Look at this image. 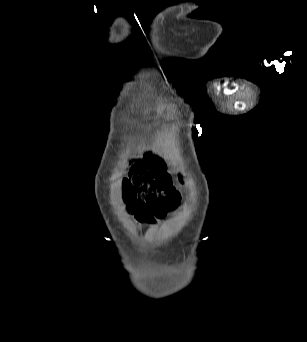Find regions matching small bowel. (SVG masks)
<instances>
[{
  "label": "small bowel",
  "mask_w": 307,
  "mask_h": 342,
  "mask_svg": "<svg viewBox=\"0 0 307 342\" xmlns=\"http://www.w3.org/2000/svg\"><path fill=\"white\" fill-rule=\"evenodd\" d=\"M131 212L134 214V224L138 228L141 226H156L151 216V212L146 204L145 206H131Z\"/></svg>",
  "instance_id": "1"
}]
</instances>
